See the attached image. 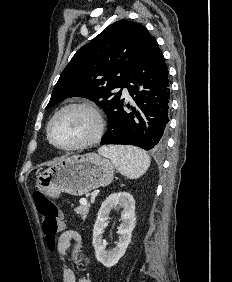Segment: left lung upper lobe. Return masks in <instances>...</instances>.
I'll return each instance as SVG.
<instances>
[{
  "label": "left lung upper lobe",
  "mask_w": 232,
  "mask_h": 282,
  "mask_svg": "<svg viewBox=\"0 0 232 282\" xmlns=\"http://www.w3.org/2000/svg\"><path fill=\"white\" fill-rule=\"evenodd\" d=\"M147 29L136 22L119 20L80 48L65 67L46 107L69 97H85L101 106L106 114L119 102L113 89L135 69L150 41Z\"/></svg>",
  "instance_id": "left-lung-upper-lobe-1"
}]
</instances>
